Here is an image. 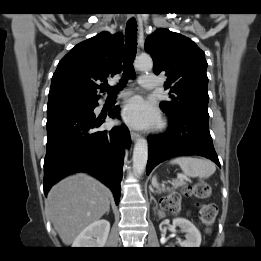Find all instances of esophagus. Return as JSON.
<instances>
[{"label": "esophagus", "mask_w": 261, "mask_h": 261, "mask_svg": "<svg viewBox=\"0 0 261 261\" xmlns=\"http://www.w3.org/2000/svg\"><path fill=\"white\" fill-rule=\"evenodd\" d=\"M132 16H129L131 18ZM130 136L133 141H136L139 138L138 132L130 128Z\"/></svg>", "instance_id": "1"}]
</instances>
